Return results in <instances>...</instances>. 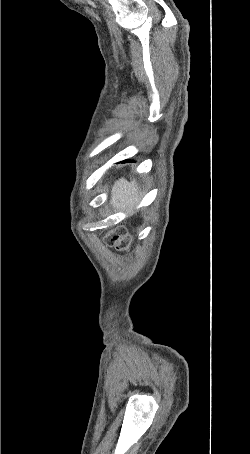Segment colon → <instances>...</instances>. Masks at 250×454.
Masks as SVG:
<instances>
[{
  "label": "colon",
  "instance_id": "1",
  "mask_svg": "<svg viewBox=\"0 0 250 454\" xmlns=\"http://www.w3.org/2000/svg\"><path fill=\"white\" fill-rule=\"evenodd\" d=\"M105 244L117 251L126 253L131 250L132 237L124 226H117L108 230L104 236Z\"/></svg>",
  "mask_w": 250,
  "mask_h": 454
}]
</instances>
